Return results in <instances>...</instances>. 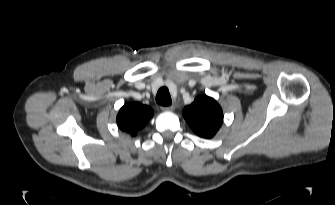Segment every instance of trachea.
<instances>
[{
	"label": "trachea",
	"mask_w": 335,
	"mask_h": 205,
	"mask_svg": "<svg viewBox=\"0 0 335 205\" xmlns=\"http://www.w3.org/2000/svg\"><path fill=\"white\" fill-rule=\"evenodd\" d=\"M156 102L162 106H170L172 104L169 90L166 87H162L158 90L156 95Z\"/></svg>",
	"instance_id": "1"
}]
</instances>
